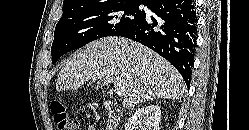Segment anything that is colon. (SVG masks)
<instances>
[{
  "label": "colon",
  "instance_id": "colon-1",
  "mask_svg": "<svg viewBox=\"0 0 249 130\" xmlns=\"http://www.w3.org/2000/svg\"><path fill=\"white\" fill-rule=\"evenodd\" d=\"M54 121L59 130H79V124L59 101H54L51 105Z\"/></svg>",
  "mask_w": 249,
  "mask_h": 130
}]
</instances>
